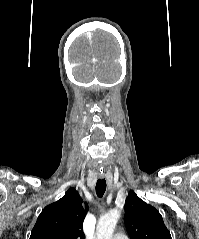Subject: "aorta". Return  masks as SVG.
I'll use <instances>...</instances> for the list:
<instances>
[{
  "label": "aorta",
  "instance_id": "obj_1",
  "mask_svg": "<svg viewBox=\"0 0 199 239\" xmlns=\"http://www.w3.org/2000/svg\"><path fill=\"white\" fill-rule=\"evenodd\" d=\"M120 218L117 209H112L102 216L97 224V239H112L115 226Z\"/></svg>",
  "mask_w": 199,
  "mask_h": 239
}]
</instances>
